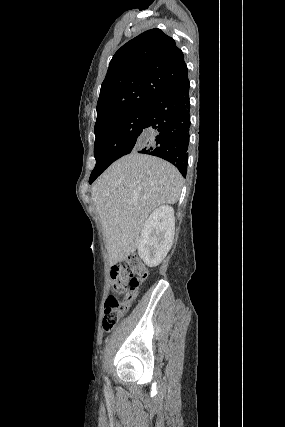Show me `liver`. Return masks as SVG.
<instances>
[{
    "mask_svg": "<svg viewBox=\"0 0 285 427\" xmlns=\"http://www.w3.org/2000/svg\"><path fill=\"white\" fill-rule=\"evenodd\" d=\"M183 178L169 162L132 152L114 162L94 183L110 265L138 248L139 234L156 207L178 201Z\"/></svg>",
    "mask_w": 285,
    "mask_h": 427,
    "instance_id": "1",
    "label": "liver"
}]
</instances>
